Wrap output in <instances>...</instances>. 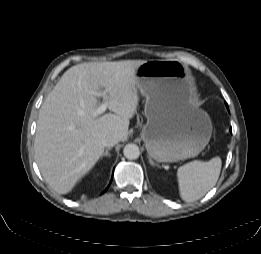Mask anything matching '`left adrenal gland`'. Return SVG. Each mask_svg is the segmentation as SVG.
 <instances>
[{"label": "left adrenal gland", "instance_id": "1", "mask_svg": "<svg viewBox=\"0 0 261 254\" xmlns=\"http://www.w3.org/2000/svg\"><path fill=\"white\" fill-rule=\"evenodd\" d=\"M149 162L152 166H156V164L152 161V159L149 157Z\"/></svg>", "mask_w": 261, "mask_h": 254}]
</instances>
